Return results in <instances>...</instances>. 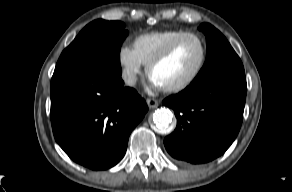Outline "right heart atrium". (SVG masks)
<instances>
[{
  "label": "right heart atrium",
  "mask_w": 292,
  "mask_h": 192,
  "mask_svg": "<svg viewBox=\"0 0 292 192\" xmlns=\"http://www.w3.org/2000/svg\"><path fill=\"white\" fill-rule=\"evenodd\" d=\"M117 60L123 80L127 85L134 86L143 68V63L135 49L126 44L121 45L118 49Z\"/></svg>",
  "instance_id": "1"
}]
</instances>
